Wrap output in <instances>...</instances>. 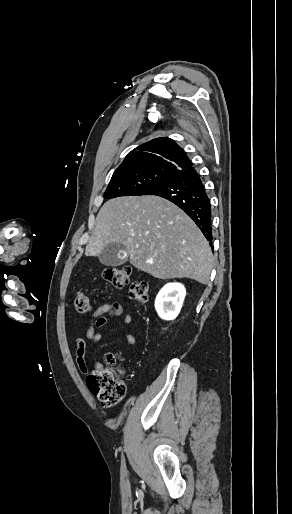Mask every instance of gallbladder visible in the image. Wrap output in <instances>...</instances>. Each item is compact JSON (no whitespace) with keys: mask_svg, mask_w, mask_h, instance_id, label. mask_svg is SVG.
Wrapping results in <instances>:
<instances>
[{"mask_svg":"<svg viewBox=\"0 0 292 514\" xmlns=\"http://www.w3.org/2000/svg\"><path fill=\"white\" fill-rule=\"evenodd\" d=\"M99 262L104 266H121L128 260V252L120 242H110L106 244L100 254Z\"/></svg>","mask_w":292,"mask_h":514,"instance_id":"gallbladder-1","label":"gallbladder"}]
</instances>
